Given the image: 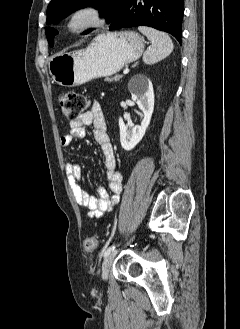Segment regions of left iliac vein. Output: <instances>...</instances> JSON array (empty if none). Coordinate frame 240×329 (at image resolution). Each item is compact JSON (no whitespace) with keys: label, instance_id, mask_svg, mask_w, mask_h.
Segmentation results:
<instances>
[{"label":"left iliac vein","instance_id":"4c4485c4","mask_svg":"<svg viewBox=\"0 0 240 329\" xmlns=\"http://www.w3.org/2000/svg\"><path fill=\"white\" fill-rule=\"evenodd\" d=\"M116 250L112 251L108 256L105 257L102 264V277L103 279H107L110 269L112 267L114 258L116 256Z\"/></svg>","mask_w":240,"mask_h":329}]
</instances>
